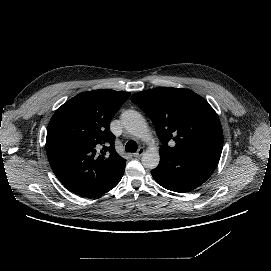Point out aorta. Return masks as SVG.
Returning <instances> with one entry per match:
<instances>
[{"label": "aorta", "instance_id": "1", "mask_svg": "<svg viewBox=\"0 0 271 271\" xmlns=\"http://www.w3.org/2000/svg\"><path fill=\"white\" fill-rule=\"evenodd\" d=\"M120 119L126 131L134 136L142 138L148 131L146 120L138 111L126 110L121 114ZM159 161L158 147L148 148L141 157L142 165L147 169H155Z\"/></svg>", "mask_w": 271, "mask_h": 271}]
</instances>
